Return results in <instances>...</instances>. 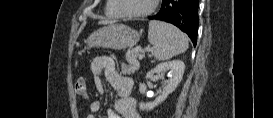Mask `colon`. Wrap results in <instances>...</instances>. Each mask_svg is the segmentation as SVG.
I'll return each instance as SVG.
<instances>
[{
  "mask_svg": "<svg viewBox=\"0 0 273 118\" xmlns=\"http://www.w3.org/2000/svg\"><path fill=\"white\" fill-rule=\"evenodd\" d=\"M75 91L79 96H86L87 89L85 80L83 78H78V80L76 81Z\"/></svg>",
  "mask_w": 273,
  "mask_h": 118,
  "instance_id": "5ec220e1",
  "label": "colon"
}]
</instances>
